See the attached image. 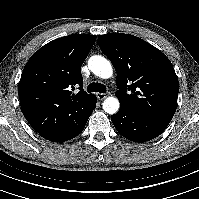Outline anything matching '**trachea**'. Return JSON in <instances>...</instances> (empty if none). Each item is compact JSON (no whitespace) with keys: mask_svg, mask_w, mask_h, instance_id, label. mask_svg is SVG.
<instances>
[{"mask_svg":"<svg viewBox=\"0 0 199 199\" xmlns=\"http://www.w3.org/2000/svg\"><path fill=\"white\" fill-rule=\"evenodd\" d=\"M87 91L89 93L91 92H99V93H106V86L104 84L98 83V82H93L88 85Z\"/></svg>","mask_w":199,"mask_h":199,"instance_id":"1","label":"trachea"}]
</instances>
